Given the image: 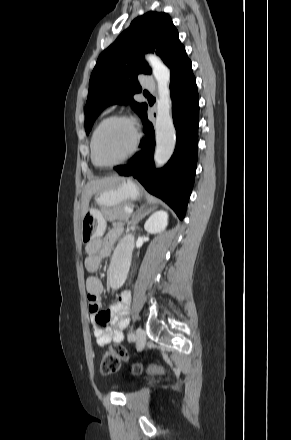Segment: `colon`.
Instances as JSON below:
<instances>
[{
    "label": "colon",
    "instance_id": "5ec220e1",
    "mask_svg": "<svg viewBox=\"0 0 291 440\" xmlns=\"http://www.w3.org/2000/svg\"><path fill=\"white\" fill-rule=\"evenodd\" d=\"M110 322L108 316L101 319V324L106 325ZM121 360L129 361V356L126 348L121 344H113L103 355L100 363V370L103 374H114L119 369ZM130 369L133 374L141 372V365L139 363H130Z\"/></svg>",
    "mask_w": 291,
    "mask_h": 440
}]
</instances>
